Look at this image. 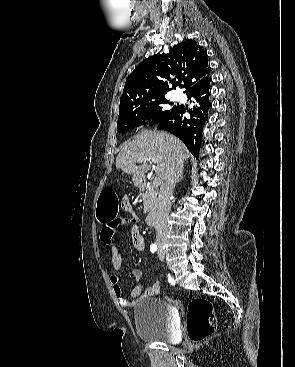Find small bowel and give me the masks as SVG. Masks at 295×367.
Listing matches in <instances>:
<instances>
[{"label": "small bowel", "instance_id": "small-bowel-1", "mask_svg": "<svg viewBox=\"0 0 295 367\" xmlns=\"http://www.w3.org/2000/svg\"><path fill=\"white\" fill-rule=\"evenodd\" d=\"M122 208L128 212L131 217L129 219L117 218L112 222L102 223L100 231V240L109 249L111 254V263L116 271H119L122 268L123 262L115 240L116 231L120 225L126 222L129 223L130 236L134 249L137 251H143L145 249V237L138 228V218L135 215L130 200L127 197L122 200ZM131 275L137 283L131 290V300L127 299L123 295L122 288L119 284V277L116 274L110 276V283L112 285L113 292L122 308H132L144 298L155 297L161 294V286L159 282H155L151 287L143 292L142 272L139 269L132 268Z\"/></svg>", "mask_w": 295, "mask_h": 367}]
</instances>
